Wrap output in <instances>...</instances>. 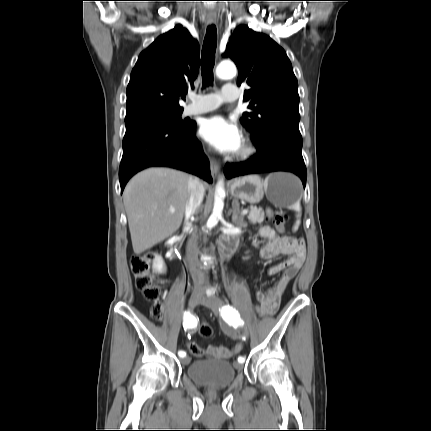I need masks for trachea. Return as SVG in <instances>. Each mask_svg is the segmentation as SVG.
<instances>
[{
  "instance_id": "3493384b",
  "label": "trachea",
  "mask_w": 431,
  "mask_h": 431,
  "mask_svg": "<svg viewBox=\"0 0 431 431\" xmlns=\"http://www.w3.org/2000/svg\"><path fill=\"white\" fill-rule=\"evenodd\" d=\"M217 46V30L214 25L207 28L201 53V72L203 86H209L213 82V67L215 63V51Z\"/></svg>"
}]
</instances>
